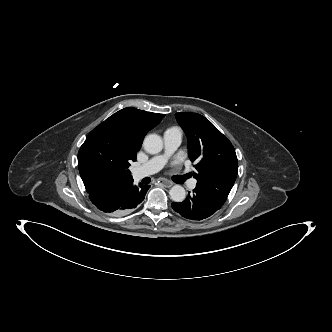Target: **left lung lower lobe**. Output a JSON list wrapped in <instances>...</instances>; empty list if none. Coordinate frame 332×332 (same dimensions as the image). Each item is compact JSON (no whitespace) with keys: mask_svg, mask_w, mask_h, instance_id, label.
I'll return each mask as SVG.
<instances>
[{"mask_svg":"<svg viewBox=\"0 0 332 332\" xmlns=\"http://www.w3.org/2000/svg\"><path fill=\"white\" fill-rule=\"evenodd\" d=\"M222 205L206 193L195 188L192 194L188 193L183 202H173L172 208L186 219L202 220L214 214Z\"/></svg>","mask_w":332,"mask_h":332,"instance_id":"1","label":"left lung lower lobe"}]
</instances>
